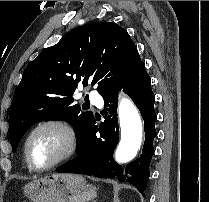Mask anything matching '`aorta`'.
I'll list each match as a JSON object with an SVG mask.
<instances>
[{"label":"aorta","instance_id":"obj_1","mask_svg":"<svg viewBox=\"0 0 209 202\" xmlns=\"http://www.w3.org/2000/svg\"><path fill=\"white\" fill-rule=\"evenodd\" d=\"M118 116L121 138L115 151V160L127 163L137 155L141 146L143 126L136 106L127 97L119 101Z\"/></svg>","mask_w":209,"mask_h":202}]
</instances>
